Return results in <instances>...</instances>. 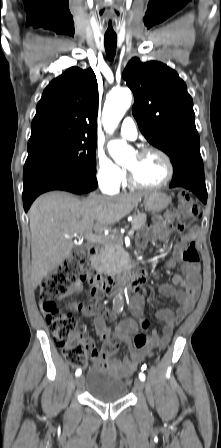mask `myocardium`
<instances>
[{"mask_svg":"<svg viewBox=\"0 0 221 448\" xmlns=\"http://www.w3.org/2000/svg\"><path fill=\"white\" fill-rule=\"evenodd\" d=\"M152 153L157 154L160 157H162V159L166 163V166L168 169L167 177L165 178V180L163 182H161L159 184L147 185V184L141 183L135 177V175L132 173V171L127 168L128 182L132 187L138 188V189H160V188L167 186L172 181L174 174H175V166H174L172 159L165 151H163L159 148H156V147H145V148H142L141 150H139L137 155L145 156V155L152 154Z\"/></svg>","mask_w":221,"mask_h":448,"instance_id":"1","label":"myocardium"}]
</instances>
